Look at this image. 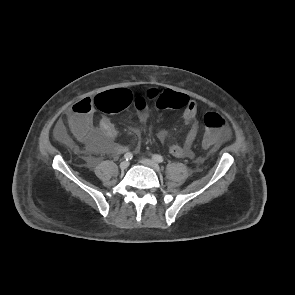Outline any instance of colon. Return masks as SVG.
Instances as JSON below:
<instances>
[{
	"instance_id": "5ec220e1",
	"label": "colon",
	"mask_w": 295,
	"mask_h": 295,
	"mask_svg": "<svg viewBox=\"0 0 295 295\" xmlns=\"http://www.w3.org/2000/svg\"><path fill=\"white\" fill-rule=\"evenodd\" d=\"M148 102H152L159 109H181L187 104L188 96L170 90L149 89L144 96L134 97L130 90L117 88L100 93L93 100L84 99L75 105V109L87 113L95 107L105 113H115L131 104L139 110H144ZM204 124L206 130L202 143L205 147L213 146L227 134L226 120L216 112L206 113ZM72 126H77L76 118L72 119Z\"/></svg>"
}]
</instances>
